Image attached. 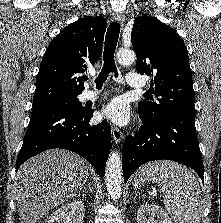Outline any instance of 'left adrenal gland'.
Masks as SVG:
<instances>
[{
  "label": "left adrenal gland",
  "mask_w": 221,
  "mask_h": 223,
  "mask_svg": "<svg viewBox=\"0 0 221 223\" xmlns=\"http://www.w3.org/2000/svg\"><path fill=\"white\" fill-rule=\"evenodd\" d=\"M138 198V194L136 193V197H135V199H137Z\"/></svg>",
  "instance_id": "obj_1"
}]
</instances>
